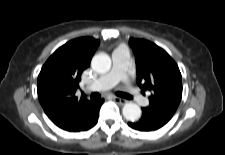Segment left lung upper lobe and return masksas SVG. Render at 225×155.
Segmentation results:
<instances>
[{
  "label": "left lung upper lobe",
  "instance_id": "obj_1",
  "mask_svg": "<svg viewBox=\"0 0 225 155\" xmlns=\"http://www.w3.org/2000/svg\"><path fill=\"white\" fill-rule=\"evenodd\" d=\"M136 59L137 84L152 92L145 109L174 114L182 97V78L175 61L159 46L130 39Z\"/></svg>",
  "mask_w": 225,
  "mask_h": 155
}]
</instances>
